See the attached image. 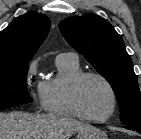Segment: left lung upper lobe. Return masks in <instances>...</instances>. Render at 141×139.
I'll use <instances>...</instances> for the list:
<instances>
[{
    "mask_svg": "<svg viewBox=\"0 0 141 139\" xmlns=\"http://www.w3.org/2000/svg\"><path fill=\"white\" fill-rule=\"evenodd\" d=\"M59 29L66 41L110 83L126 124H141V92L122 37L98 15L67 18Z\"/></svg>",
    "mask_w": 141,
    "mask_h": 139,
    "instance_id": "obj_1",
    "label": "left lung upper lobe"
}]
</instances>
